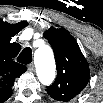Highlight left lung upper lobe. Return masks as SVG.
<instances>
[{
  "instance_id": "1",
  "label": "left lung upper lobe",
  "mask_w": 103,
  "mask_h": 103,
  "mask_svg": "<svg viewBox=\"0 0 103 103\" xmlns=\"http://www.w3.org/2000/svg\"><path fill=\"white\" fill-rule=\"evenodd\" d=\"M55 55L57 78L46 91L55 100L69 101L87 85L89 65L75 38L65 28H49L44 33Z\"/></svg>"
}]
</instances>
